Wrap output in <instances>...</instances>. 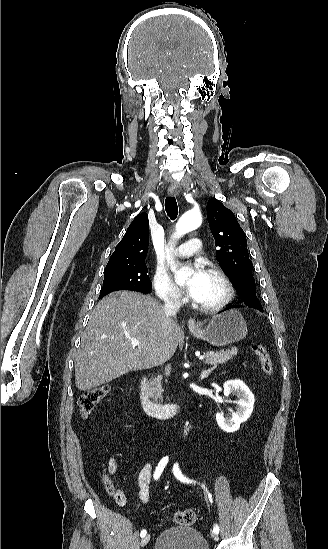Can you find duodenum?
<instances>
[{
    "label": "duodenum",
    "instance_id": "duodenum-1",
    "mask_svg": "<svg viewBox=\"0 0 328 549\" xmlns=\"http://www.w3.org/2000/svg\"><path fill=\"white\" fill-rule=\"evenodd\" d=\"M138 397L143 410L154 417H171L181 411L184 406L183 401L172 403H156L148 395L147 378L141 377L138 383Z\"/></svg>",
    "mask_w": 328,
    "mask_h": 549
}]
</instances>
